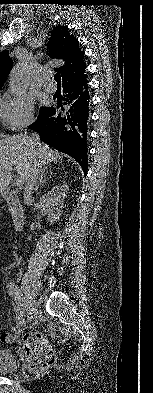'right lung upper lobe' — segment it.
<instances>
[{
  "instance_id": "1",
  "label": "right lung upper lobe",
  "mask_w": 153,
  "mask_h": 393,
  "mask_svg": "<svg viewBox=\"0 0 153 393\" xmlns=\"http://www.w3.org/2000/svg\"><path fill=\"white\" fill-rule=\"evenodd\" d=\"M48 49L51 58L64 61V65L54 68L55 71H59L62 74V80L70 74L85 71L84 53L79 49L78 40L68 33L67 27H54L48 43ZM12 65L13 61L9 57L8 51L0 52V89Z\"/></svg>"
}]
</instances>
